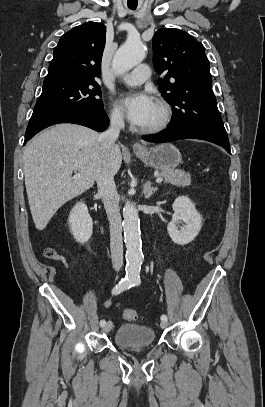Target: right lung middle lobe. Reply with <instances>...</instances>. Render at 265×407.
Listing matches in <instances>:
<instances>
[{"label":"right lung middle lobe","mask_w":265,"mask_h":407,"mask_svg":"<svg viewBox=\"0 0 265 407\" xmlns=\"http://www.w3.org/2000/svg\"><path fill=\"white\" fill-rule=\"evenodd\" d=\"M101 90L95 80L45 78L28 127L65 113L83 109L103 110Z\"/></svg>","instance_id":"obj_1"}]
</instances>
